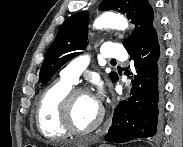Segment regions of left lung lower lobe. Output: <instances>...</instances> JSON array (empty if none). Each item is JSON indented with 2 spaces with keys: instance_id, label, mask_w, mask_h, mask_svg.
<instances>
[{
  "instance_id": "0a47b994",
  "label": "left lung lower lobe",
  "mask_w": 183,
  "mask_h": 147,
  "mask_svg": "<svg viewBox=\"0 0 183 147\" xmlns=\"http://www.w3.org/2000/svg\"><path fill=\"white\" fill-rule=\"evenodd\" d=\"M133 59L134 76L131 97L114 111L105 140L124 143L137 138H151L162 128L164 110V52L159 25L144 39L127 49Z\"/></svg>"
}]
</instances>
